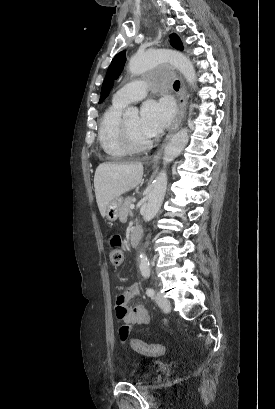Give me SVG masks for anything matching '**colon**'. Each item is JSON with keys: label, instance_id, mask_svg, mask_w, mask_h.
<instances>
[{"label": "colon", "instance_id": "5ec220e1", "mask_svg": "<svg viewBox=\"0 0 275 409\" xmlns=\"http://www.w3.org/2000/svg\"><path fill=\"white\" fill-rule=\"evenodd\" d=\"M122 238L119 233L111 234L108 237V246L111 248V263L118 267L124 260V252L121 250ZM130 346L134 351L140 352L142 358H154L161 356L164 344L161 342H139L130 340Z\"/></svg>", "mask_w": 275, "mask_h": 409}]
</instances>
